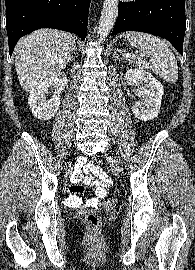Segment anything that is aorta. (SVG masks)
Segmentation results:
<instances>
[{
  "label": "aorta",
  "mask_w": 195,
  "mask_h": 270,
  "mask_svg": "<svg viewBox=\"0 0 195 270\" xmlns=\"http://www.w3.org/2000/svg\"><path fill=\"white\" fill-rule=\"evenodd\" d=\"M118 16V0H104L98 28L99 41L105 40Z\"/></svg>",
  "instance_id": "obj_1"
}]
</instances>
